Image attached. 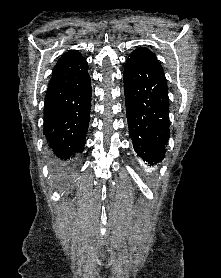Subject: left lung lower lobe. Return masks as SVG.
<instances>
[{"label":"left lung lower lobe","mask_w":221,"mask_h":278,"mask_svg":"<svg viewBox=\"0 0 221 278\" xmlns=\"http://www.w3.org/2000/svg\"><path fill=\"white\" fill-rule=\"evenodd\" d=\"M124 93L134 150L154 165L165 157L170 133L168 88L160 63L126 61Z\"/></svg>","instance_id":"1"}]
</instances>
